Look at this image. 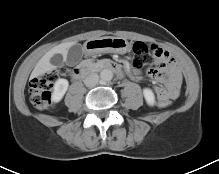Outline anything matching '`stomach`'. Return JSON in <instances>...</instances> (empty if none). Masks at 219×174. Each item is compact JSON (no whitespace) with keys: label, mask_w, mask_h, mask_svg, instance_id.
<instances>
[{"label":"stomach","mask_w":219,"mask_h":174,"mask_svg":"<svg viewBox=\"0 0 219 174\" xmlns=\"http://www.w3.org/2000/svg\"><path fill=\"white\" fill-rule=\"evenodd\" d=\"M84 48L88 55L99 53L124 54L130 49V43L125 38L107 36L89 39L85 42Z\"/></svg>","instance_id":"stomach-1"}]
</instances>
